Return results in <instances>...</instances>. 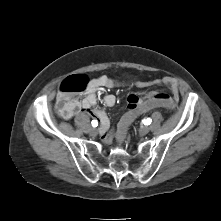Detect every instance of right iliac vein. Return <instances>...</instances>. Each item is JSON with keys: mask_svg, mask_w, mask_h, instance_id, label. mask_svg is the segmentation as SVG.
I'll return each instance as SVG.
<instances>
[{"mask_svg": "<svg viewBox=\"0 0 221 221\" xmlns=\"http://www.w3.org/2000/svg\"><path fill=\"white\" fill-rule=\"evenodd\" d=\"M89 132L91 135H97L98 130L96 128H90Z\"/></svg>", "mask_w": 221, "mask_h": 221, "instance_id": "obj_1", "label": "right iliac vein"}]
</instances>
